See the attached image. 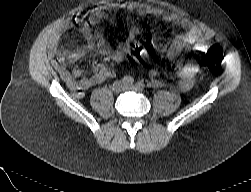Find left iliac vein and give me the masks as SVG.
I'll return each mask as SVG.
<instances>
[{"label":"left iliac vein","instance_id":"1","mask_svg":"<svg viewBox=\"0 0 251 192\" xmlns=\"http://www.w3.org/2000/svg\"><path fill=\"white\" fill-rule=\"evenodd\" d=\"M125 89L126 90H136V87L132 86V85H125Z\"/></svg>","mask_w":251,"mask_h":192}]
</instances>
